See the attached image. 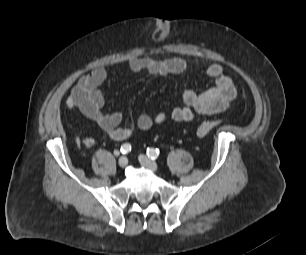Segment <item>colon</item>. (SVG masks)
<instances>
[{
  "mask_svg": "<svg viewBox=\"0 0 306 255\" xmlns=\"http://www.w3.org/2000/svg\"><path fill=\"white\" fill-rule=\"evenodd\" d=\"M220 124L219 120H203L200 122L196 129V134L199 138L208 135L213 129Z\"/></svg>",
  "mask_w": 306,
  "mask_h": 255,
  "instance_id": "5ec220e1",
  "label": "colon"
}]
</instances>
